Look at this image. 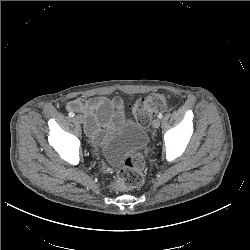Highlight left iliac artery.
Instances as JSON below:
<instances>
[{"label":"left iliac artery","instance_id":"left-iliac-artery-1","mask_svg":"<svg viewBox=\"0 0 250 250\" xmlns=\"http://www.w3.org/2000/svg\"><path fill=\"white\" fill-rule=\"evenodd\" d=\"M159 119H161L162 117H163V115L160 113V114H158V116H157Z\"/></svg>","mask_w":250,"mask_h":250}]
</instances>
